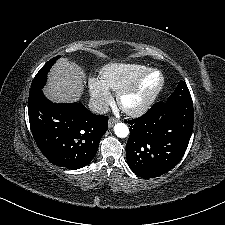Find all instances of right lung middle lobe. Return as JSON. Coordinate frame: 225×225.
<instances>
[{"label": "right lung middle lobe", "instance_id": "obj_1", "mask_svg": "<svg viewBox=\"0 0 225 225\" xmlns=\"http://www.w3.org/2000/svg\"><path fill=\"white\" fill-rule=\"evenodd\" d=\"M58 58L59 56L52 58L39 70L32 81L30 93L43 88L46 83L47 73Z\"/></svg>", "mask_w": 225, "mask_h": 225}]
</instances>
